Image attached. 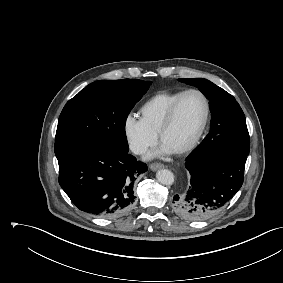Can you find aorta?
<instances>
[{
  "label": "aorta",
  "instance_id": "aorta-1",
  "mask_svg": "<svg viewBox=\"0 0 283 283\" xmlns=\"http://www.w3.org/2000/svg\"><path fill=\"white\" fill-rule=\"evenodd\" d=\"M158 182L164 185H172L174 182V175L168 169H161L156 173Z\"/></svg>",
  "mask_w": 283,
  "mask_h": 283
}]
</instances>
